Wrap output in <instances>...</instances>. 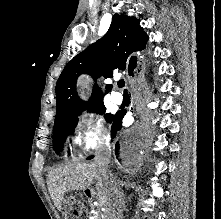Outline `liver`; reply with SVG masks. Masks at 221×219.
Wrapping results in <instances>:
<instances>
[{
  "instance_id": "obj_1",
  "label": "liver",
  "mask_w": 221,
  "mask_h": 219,
  "mask_svg": "<svg viewBox=\"0 0 221 219\" xmlns=\"http://www.w3.org/2000/svg\"><path fill=\"white\" fill-rule=\"evenodd\" d=\"M112 177H102L98 173L94 162L76 161L52 170L48 174L47 185L50 197L55 207L60 211L65 193L88 189L93 180H96L95 194L100 202V206L105 209V216L114 198V184L117 183L119 187L117 178L113 175Z\"/></svg>"
}]
</instances>
